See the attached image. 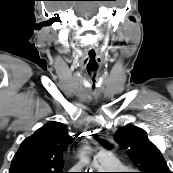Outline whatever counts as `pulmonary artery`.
<instances>
[{
  "instance_id": "e3ab8cb5",
  "label": "pulmonary artery",
  "mask_w": 173,
  "mask_h": 173,
  "mask_svg": "<svg viewBox=\"0 0 173 173\" xmlns=\"http://www.w3.org/2000/svg\"><path fill=\"white\" fill-rule=\"evenodd\" d=\"M95 160L105 167H111L113 156L108 151H101L96 154Z\"/></svg>"
}]
</instances>
